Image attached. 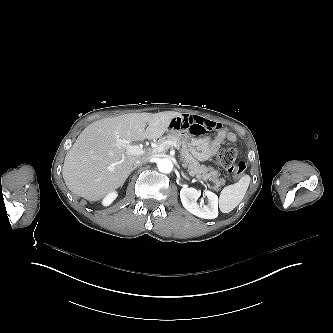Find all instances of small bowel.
<instances>
[{
    "mask_svg": "<svg viewBox=\"0 0 333 333\" xmlns=\"http://www.w3.org/2000/svg\"><path fill=\"white\" fill-rule=\"evenodd\" d=\"M170 127L177 131L188 132L195 135L205 134L208 132L211 136L220 135L224 128L221 122H212L200 116L189 114H183L172 119ZM221 137L222 139L224 138L223 135H221ZM226 137L231 142L236 141V136L233 133H228ZM212 148L216 149L214 147Z\"/></svg>",
    "mask_w": 333,
    "mask_h": 333,
    "instance_id": "1",
    "label": "small bowel"
}]
</instances>
